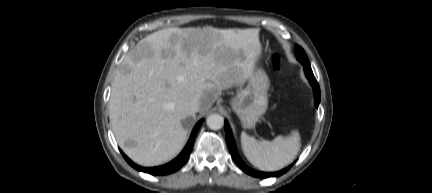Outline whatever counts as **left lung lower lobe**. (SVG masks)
Returning a JSON list of instances; mask_svg holds the SVG:
<instances>
[{"instance_id": "obj_1", "label": "left lung lower lobe", "mask_w": 432, "mask_h": 193, "mask_svg": "<svg viewBox=\"0 0 432 193\" xmlns=\"http://www.w3.org/2000/svg\"><path fill=\"white\" fill-rule=\"evenodd\" d=\"M303 65H304V71L305 74L310 82V84L312 85L313 89H314V93H315V102H316V106L318 107L319 103H320V88L319 85L313 75V72L311 70L310 64L308 61H300ZM225 135H226V140H227V144L230 150V153L233 157V159L235 160V162L237 163V165L247 174H250L252 176L255 177H260V178H267V177H276V176H280L283 173H285L286 171H288L292 165L288 166L287 168L276 172V173H264V172H259V171H255L251 168H249L244 162L243 160L240 158V156L237 153V150L235 148L234 142H233V138H232V134L229 128V125L227 123V121H225Z\"/></svg>"}]
</instances>
